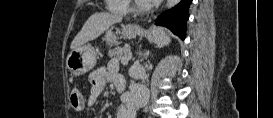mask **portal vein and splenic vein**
Here are the masks:
<instances>
[{"label":"portal vein and splenic vein","mask_w":273,"mask_h":118,"mask_svg":"<svg viewBox=\"0 0 273 118\" xmlns=\"http://www.w3.org/2000/svg\"><path fill=\"white\" fill-rule=\"evenodd\" d=\"M131 59V54H128L127 56L122 58V61L127 64L128 60Z\"/></svg>","instance_id":"1"}]
</instances>
